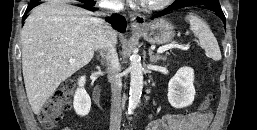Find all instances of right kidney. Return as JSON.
Segmentation results:
<instances>
[{
    "label": "right kidney",
    "mask_w": 257,
    "mask_h": 130,
    "mask_svg": "<svg viewBox=\"0 0 257 130\" xmlns=\"http://www.w3.org/2000/svg\"><path fill=\"white\" fill-rule=\"evenodd\" d=\"M86 78L82 76L79 79V88L76 90L74 95L73 106L77 115L86 116L90 112L91 99L86 90L84 89Z\"/></svg>",
    "instance_id": "right-kidney-1"
}]
</instances>
